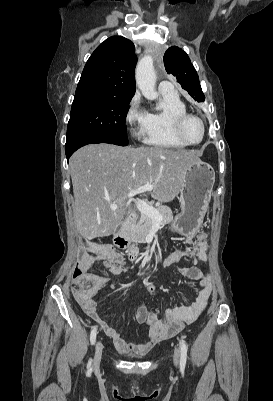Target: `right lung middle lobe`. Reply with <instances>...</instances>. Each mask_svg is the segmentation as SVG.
<instances>
[{
	"mask_svg": "<svg viewBox=\"0 0 273 401\" xmlns=\"http://www.w3.org/2000/svg\"><path fill=\"white\" fill-rule=\"evenodd\" d=\"M131 99L84 95L74 97L67 126V141L93 138L126 146V115Z\"/></svg>",
	"mask_w": 273,
	"mask_h": 401,
	"instance_id": "obj_1",
	"label": "right lung middle lobe"
}]
</instances>
